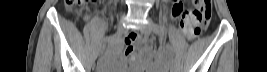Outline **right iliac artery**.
<instances>
[{"label":"right iliac artery","mask_w":267,"mask_h":72,"mask_svg":"<svg viewBox=\"0 0 267 72\" xmlns=\"http://www.w3.org/2000/svg\"><path fill=\"white\" fill-rule=\"evenodd\" d=\"M120 36V34H113L107 38H104L102 43H101V48L105 47L106 43H113L114 41H116L118 39V37Z\"/></svg>","instance_id":"82829eb1"}]
</instances>
